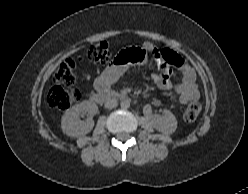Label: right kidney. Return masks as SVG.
I'll list each match as a JSON object with an SVG mask.
<instances>
[{
    "mask_svg": "<svg viewBox=\"0 0 248 194\" xmlns=\"http://www.w3.org/2000/svg\"><path fill=\"white\" fill-rule=\"evenodd\" d=\"M87 112L89 117L82 121L81 113ZM98 113V106L89 101H83L68 109L61 120L62 131L71 137H79L88 134L94 127L92 117Z\"/></svg>",
    "mask_w": 248,
    "mask_h": 194,
    "instance_id": "obj_1",
    "label": "right kidney"
}]
</instances>
